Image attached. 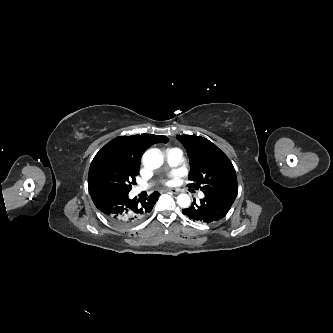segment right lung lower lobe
<instances>
[{
    "mask_svg": "<svg viewBox=\"0 0 333 333\" xmlns=\"http://www.w3.org/2000/svg\"><path fill=\"white\" fill-rule=\"evenodd\" d=\"M89 193L95 206L108 220L124 227L142 221L152 210L160 195L158 192H153L139 203L135 198H129V192L107 186H89Z\"/></svg>",
    "mask_w": 333,
    "mask_h": 333,
    "instance_id": "1",
    "label": "right lung lower lobe"
}]
</instances>
